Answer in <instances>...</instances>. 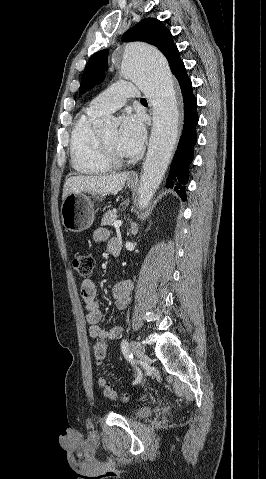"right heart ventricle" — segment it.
Returning a JSON list of instances; mask_svg holds the SVG:
<instances>
[{
	"label": "right heart ventricle",
	"instance_id": "1",
	"mask_svg": "<svg viewBox=\"0 0 266 479\" xmlns=\"http://www.w3.org/2000/svg\"><path fill=\"white\" fill-rule=\"evenodd\" d=\"M101 114L89 109L76 121L70 139V153L73 168L80 174L101 175L112 170L102 156L98 136L93 123Z\"/></svg>",
	"mask_w": 266,
	"mask_h": 479
}]
</instances>
